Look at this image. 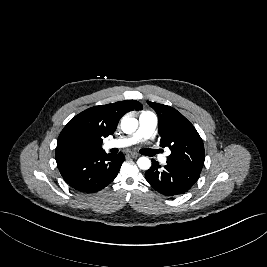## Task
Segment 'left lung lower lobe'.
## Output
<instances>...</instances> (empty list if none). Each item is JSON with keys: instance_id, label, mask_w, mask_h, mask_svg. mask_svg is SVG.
Instances as JSON below:
<instances>
[{"instance_id": "0a47b994", "label": "left lung lower lobe", "mask_w": 267, "mask_h": 267, "mask_svg": "<svg viewBox=\"0 0 267 267\" xmlns=\"http://www.w3.org/2000/svg\"><path fill=\"white\" fill-rule=\"evenodd\" d=\"M200 172L167 163L161 167L152 160V166L145 173L148 183L159 193L175 196L187 192L198 180Z\"/></svg>"}]
</instances>
